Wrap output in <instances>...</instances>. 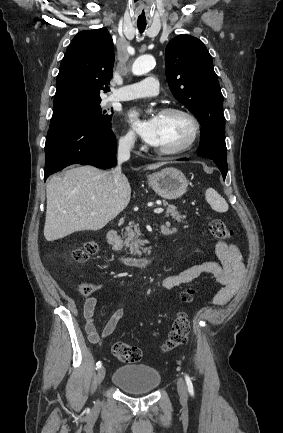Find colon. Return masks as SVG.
I'll list each match as a JSON object with an SVG mask.
<instances>
[{"instance_id":"obj_1","label":"colon","mask_w":283,"mask_h":433,"mask_svg":"<svg viewBox=\"0 0 283 433\" xmlns=\"http://www.w3.org/2000/svg\"><path fill=\"white\" fill-rule=\"evenodd\" d=\"M208 228L211 235L220 240H226L233 234V231L228 224L216 217L209 218ZM97 249V244L93 241H89L82 248L74 251V259L78 262H84L94 255ZM80 291L83 295L88 296L92 293L93 286L91 284H83ZM193 295L194 290L188 289L182 293L181 299L183 302L189 303L192 300ZM189 332L190 322L188 316L185 312L180 311L174 318L168 339L164 344V349L173 350L184 345L188 340ZM112 353L116 359L127 363L138 361L142 355L140 348L121 341L113 343Z\"/></svg>"}]
</instances>
